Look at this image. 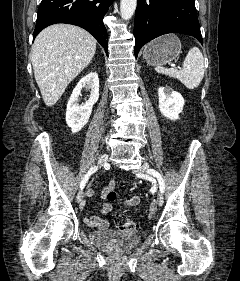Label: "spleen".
<instances>
[{"instance_id": "spleen-1", "label": "spleen", "mask_w": 240, "mask_h": 281, "mask_svg": "<svg viewBox=\"0 0 240 281\" xmlns=\"http://www.w3.org/2000/svg\"><path fill=\"white\" fill-rule=\"evenodd\" d=\"M155 70L158 73L178 79L188 89H194L199 86L204 77V58L199 48L192 47L183 61L182 69L156 66Z\"/></svg>"}]
</instances>
